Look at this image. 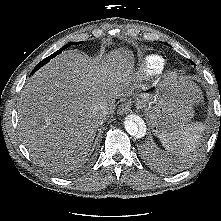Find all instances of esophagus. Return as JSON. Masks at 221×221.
<instances>
[{
	"label": "esophagus",
	"mask_w": 221,
	"mask_h": 221,
	"mask_svg": "<svg viewBox=\"0 0 221 221\" xmlns=\"http://www.w3.org/2000/svg\"><path fill=\"white\" fill-rule=\"evenodd\" d=\"M129 112H131V104L129 102L121 104L117 110V114L121 116Z\"/></svg>",
	"instance_id": "1"
}]
</instances>
